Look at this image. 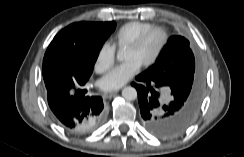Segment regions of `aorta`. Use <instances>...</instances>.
Instances as JSON below:
<instances>
[{
  "label": "aorta",
  "instance_id": "1",
  "mask_svg": "<svg viewBox=\"0 0 244 157\" xmlns=\"http://www.w3.org/2000/svg\"><path fill=\"white\" fill-rule=\"evenodd\" d=\"M117 59L118 60L122 59V55L120 52H118L117 54ZM122 97L127 101L135 100L137 98V91L134 87L131 86L125 87L122 90Z\"/></svg>",
  "mask_w": 244,
  "mask_h": 157
}]
</instances>
